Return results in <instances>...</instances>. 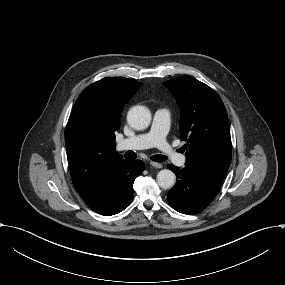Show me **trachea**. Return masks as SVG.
<instances>
[{"instance_id":"trachea-1","label":"trachea","mask_w":285,"mask_h":285,"mask_svg":"<svg viewBox=\"0 0 285 285\" xmlns=\"http://www.w3.org/2000/svg\"><path fill=\"white\" fill-rule=\"evenodd\" d=\"M126 158L128 159H134L137 157L136 153L133 152V151H128L125 155ZM151 160L155 161V162H164L166 161V157L164 155H160V154H157V155H153L150 157Z\"/></svg>"}]
</instances>
